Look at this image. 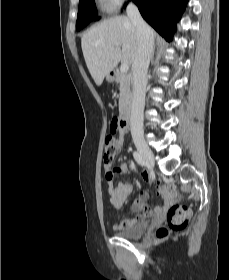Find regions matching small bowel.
<instances>
[{
    "label": "small bowel",
    "instance_id": "c3829d8e",
    "mask_svg": "<svg viewBox=\"0 0 229 280\" xmlns=\"http://www.w3.org/2000/svg\"><path fill=\"white\" fill-rule=\"evenodd\" d=\"M126 134H127V130H123L122 128H120L118 130V140L120 143H123V137ZM127 170H128L127 163L121 162L117 165V167L115 168L114 171H115V173L122 175ZM142 177L145 180L149 179V175L147 172H143ZM132 192H133V185L131 183L120 182L118 185L114 186L112 181H108V193L110 196L111 203L118 210L123 208L125 202L129 198V196L132 194ZM156 192L164 200V204H163V206L156 207L153 210V215H155L157 217H161L166 213L170 203L172 201H174V198H171V191H170V188L167 186L158 185ZM146 199H147V193L144 192V193H142L140 199L134 202V204L132 206L133 211L134 212H149L150 209H149V205L146 203ZM142 219H143V217H141V216L126 219L122 222L114 224L113 230L116 232L119 230L130 228L135 223H137L139 220H142Z\"/></svg>",
    "mask_w": 229,
    "mask_h": 280
}]
</instances>
